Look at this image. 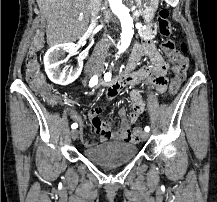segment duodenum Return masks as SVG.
<instances>
[{
	"mask_svg": "<svg viewBox=\"0 0 217 202\" xmlns=\"http://www.w3.org/2000/svg\"><path fill=\"white\" fill-rule=\"evenodd\" d=\"M137 60H138L137 55H135L133 53L131 55L129 62H128L127 66L125 67V69L123 71H121L116 77L111 79L110 81H106V82L102 83V85L110 87L118 80L129 77L131 75V72H132Z\"/></svg>",
	"mask_w": 217,
	"mask_h": 202,
	"instance_id": "obj_1",
	"label": "duodenum"
}]
</instances>
